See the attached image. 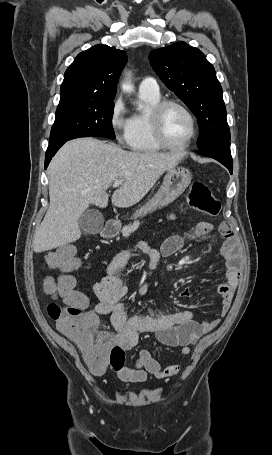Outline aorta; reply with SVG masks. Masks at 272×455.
Here are the masks:
<instances>
[{"instance_id": "obj_1", "label": "aorta", "mask_w": 272, "mask_h": 455, "mask_svg": "<svg viewBox=\"0 0 272 455\" xmlns=\"http://www.w3.org/2000/svg\"><path fill=\"white\" fill-rule=\"evenodd\" d=\"M122 89L125 91V92H132L134 90V87L133 85L131 84L130 82V79H127L123 84H122Z\"/></svg>"}]
</instances>
